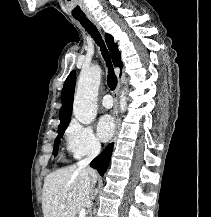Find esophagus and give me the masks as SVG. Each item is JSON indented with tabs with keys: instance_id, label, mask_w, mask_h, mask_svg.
<instances>
[{
	"instance_id": "34e87169",
	"label": "esophagus",
	"mask_w": 211,
	"mask_h": 217,
	"mask_svg": "<svg viewBox=\"0 0 211 217\" xmlns=\"http://www.w3.org/2000/svg\"><path fill=\"white\" fill-rule=\"evenodd\" d=\"M87 17L98 29H100V25L98 24L97 20L92 14H88ZM119 91H120V83L118 84L115 94H114L115 104H114V109H113V117H114V122H115V133H114L113 141L116 140L118 130H119V114H118Z\"/></svg>"
}]
</instances>
